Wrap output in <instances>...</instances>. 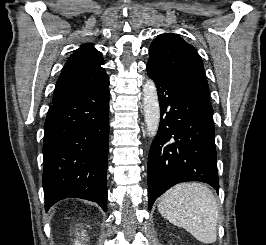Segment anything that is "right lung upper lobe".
<instances>
[{
    "label": "right lung upper lobe",
    "mask_w": 266,
    "mask_h": 245,
    "mask_svg": "<svg viewBox=\"0 0 266 245\" xmlns=\"http://www.w3.org/2000/svg\"><path fill=\"white\" fill-rule=\"evenodd\" d=\"M102 54L91 44H84L68 59L56 83L53 104L83 87L109 81Z\"/></svg>",
    "instance_id": "right-lung-upper-lobe-1"
}]
</instances>
